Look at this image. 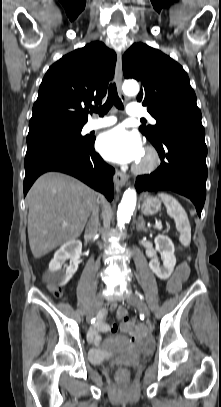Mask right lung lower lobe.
<instances>
[{
  "mask_svg": "<svg viewBox=\"0 0 221 407\" xmlns=\"http://www.w3.org/2000/svg\"><path fill=\"white\" fill-rule=\"evenodd\" d=\"M94 140L85 143L62 135H40L27 139L24 196L43 173L59 171L72 175L111 201L114 196L115 170L93 148Z\"/></svg>",
  "mask_w": 221,
  "mask_h": 407,
  "instance_id": "obj_1",
  "label": "right lung lower lobe"
}]
</instances>
